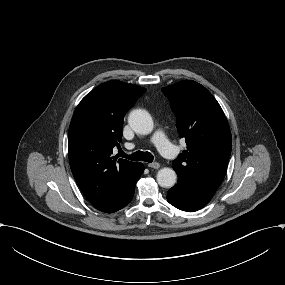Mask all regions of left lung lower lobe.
I'll list each match as a JSON object with an SVG mask.
<instances>
[{
  "label": "left lung lower lobe",
  "mask_w": 285,
  "mask_h": 285,
  "mask_svg": "<svg viewBox=\"0 0 285 285\" xmlns=\"http://www.w3.org/2000/svg\"><path fill=\"white\" fill-rule=\"evenodd\" d=\"M213 194L178 177L177 184L168 191L167 201L180 210L194 212L203 208Z\"/></svg>",
  "instance_id": "left-lung-lower-lobe-1"
}]
</instances>
